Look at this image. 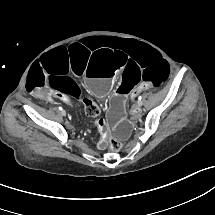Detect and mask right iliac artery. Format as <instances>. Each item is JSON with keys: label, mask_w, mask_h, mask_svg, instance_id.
Listing matches in <instances>:
<instances>
[{"label": "right iliac artery", "mask_w": 215, "mask_h": 215, "mask_svg": "<svg viewBox=\"0 0 215 215\" xmlns=\"http://www.w3.org/2000/svg\"><path fill=\"white\" fill-rule=\"evenodd\" d=\"M59 110H61V111H62V110H63V108H62V107H59Z\"/></svg>", "instance_id": "obj_1"}]
</instances>
